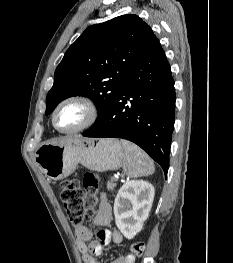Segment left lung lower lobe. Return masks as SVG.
<instances>
[{"mask_svg": "<svg viewBox=\"0 0 233 263\" xmlns=\"http://www.w3.org/2000/svg\"><path fill=\"white\" fill-rule=\"evenodd\" d=\"M175 100L170 65L156 38L127 74L111 108L83 136L132 141L160 164L166 176Z\"/></svg>", "mask_w": 233, "mask_h": 263, "instance_id": "left-lung-lower-lobe-1", "label": "left lung lower lobe"}]
</instances>
